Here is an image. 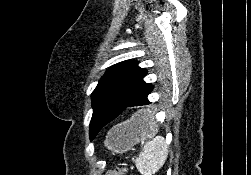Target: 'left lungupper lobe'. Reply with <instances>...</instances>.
<instances>
[{"instance_id":"obj_1","label":"left lung upper lobe","mask_w":251,"mask_h":175,"mask_svg":"<svg viewBox=\"0 0 251 175\" xmlns=\"http://www.w3.org/2000/svg\"><path fill=\"white\" fill-rule=\"evenodd\" d=\"M147 74L133 60H127L111 66L101 78L92 93L93 116L90 122V139L93 140L105 126L97 119L98 111L111 103L125 104Z\"/></svg>"}]
</instances>
